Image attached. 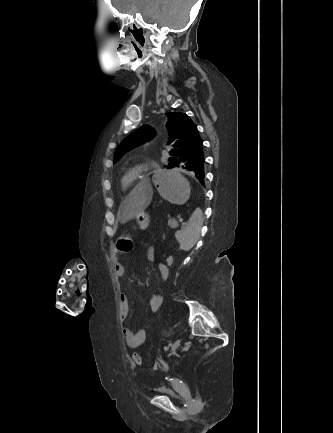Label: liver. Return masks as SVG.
Masks as SVG:
<instances>
[{
  "label": "liver",
  "instance_id": "1",
  "mask_svg": "<svg viewBox=\"0 0 333 433\" xmlns=\"http://www.w3.org/2000/svg\"><path fill=\"white\" fill-rule=\"evenodd\" d=\"M151 183H137L135 189L137 192H130V201H119L118 207L120 210L121 223H126L132 220L135 215H140L143 210H146L150 195L152 191Z\"/></svg>",
  "mask_w": 333,
  "mask_h": 433
}]
</instances>
